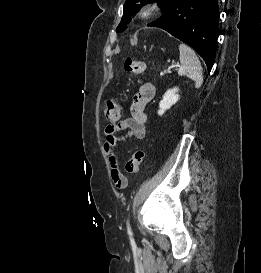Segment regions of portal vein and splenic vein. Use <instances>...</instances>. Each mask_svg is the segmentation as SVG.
<instances>
[{
	"instance_id": "18ae733b",
	"label": "portal vein and splenic vein",
	"mask_w": 261,
	"mask_h": 273,
	"mask_svg": "<svg viewBox=\"0 0 261 273\" xmlns=\"http://www.w3.org/2000/svg\"><path fill=\"white\" fill-rule=\"evenodd\" d=\"M174 67H179V65H175V66L170 67L167 72H171V69Z\"/></svg>"
}]
</instances>
